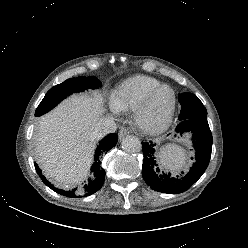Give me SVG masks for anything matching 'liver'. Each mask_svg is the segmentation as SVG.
<instances>
[{"label":"liver","instance_id":"1","mask_svg":"<svg viewBox=\"0 0 248 248\" xmlns=\"http://www.w3.org/2000/svg\"><path fill=\"white\" fill-rule=\"evenodd\" d=\"M73 95L38 120L35 158L45 176L68 189L89 175L95 149L93 130L103 115V98Z\"/></svg>","mask_w":248,"mask_h":248}]
</instances>
